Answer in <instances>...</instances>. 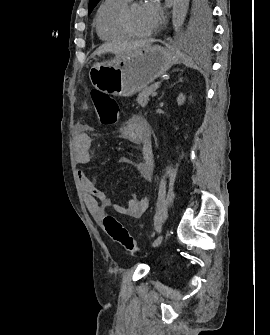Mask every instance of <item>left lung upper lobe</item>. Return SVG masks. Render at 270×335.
Wrapping results in <instances>:
<instances>
[{
    "mask_svg": "<svg viewBox=\"0 0 270 335\" xmlns=\"http://www.w3.org/2000/svg\"><path fill=\"white\" fill-rule=\"evenodd\" d=\"M100 0H90L88 14L94 9ZM209 0H188L187 18L190 26L198 33H206L210 30Z\"/></svg>",
    "mask_w": 270,
    "mask_h": 335,
    "instance_id": "obj_1",
    "label": "left lung upper lobe"
}]
</instances>
